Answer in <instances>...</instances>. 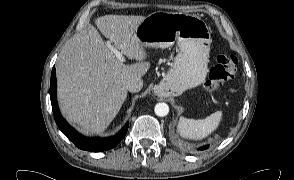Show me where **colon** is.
Instances as JSON below:
<instances>
[{
  "label": "colon",
  "instance_id": "obj_1",
  "mask_svg": "<svg viewBox=\"0 0 294 180\" xmlns=\"http://www.w3.org/2000/svg\"><path fill=\"white\" fill-rule=\"evenodd\" d=\"M237 59L235 56L220 53L217 56L216 65L211 68L205 89L209 93L217 92L221 89L224 81L235 77L237 72Z\"/></svg>",
  "mask_w": 294,
  "mask_h": 180
}]
</instances>
